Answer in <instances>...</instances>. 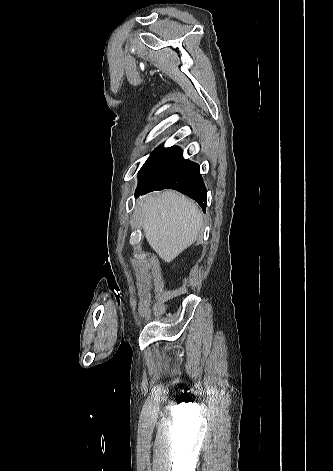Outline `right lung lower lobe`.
Instances as JSON below:
<instances>
[{"instance_id": "1", "label": "right lung lower lobe", "mask_w": 333, "mask_h": 471, "mask_svg": "<svg viewBox=\"0 0 333 471\" xmlns=\"http://www.w3.org/2000/svg\"><path fill=\"white\" fill-rule=\"evenodd\" d=\"M175 189L194 199L205 211L207 191L199 165L186 160L177 147L159 146L139 171L135 196L153 190Z\"/></svg>"}]
</instances>
